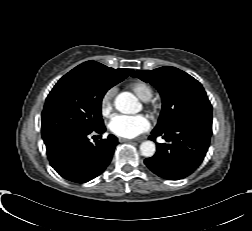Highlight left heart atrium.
I'll return each mask as SVG.
<instances>
[{"instance_id": "1", "label": "left heart atrium", "mask_w": 252, "mask_h": 231, "mask_svg": "<svg viewBox=\"0 0 252 231\" xmlns=\"http://www.w3.org/2000/svg\"><path fill=\"white\" fill-rule=\"evenodd\" d=\"M150 128V122L144 115H114L109 123L112 133L123 138H134Z\"/></svg>"}]
</instances>
